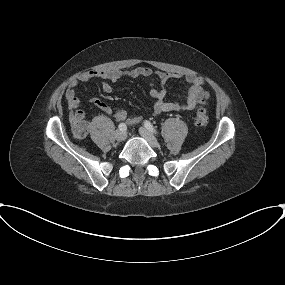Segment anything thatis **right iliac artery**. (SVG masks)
<instances>
[{
	"instance_id": "1",
	"label": "right iliac artery",
	"mask_w": 285,
	"mask_h": 285,
	"mask_svg": "<svg viewBox=\"0 0 285 285\" xmlns=\"http://www.w3.org/2000/svg\"><path fill=\"white\" fill-rule=\"evenodd\" d=\"M119 130L121 131H126L127 129V126L125 123H120L119 126H118Z\"/></svg>"
}]
</instances>
